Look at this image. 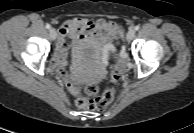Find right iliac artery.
<instances>
[{"label": "right iliac artery", "instance_id": "1", "mask_svg": "<svg viewBox=\"0 0 194 133\" xmlns=\"http://www.w3.org/2000/svg\"><path fill=\"white\" fill-rule=\"evenodd\" d=\"M46 28L47 29H50L51 28V25L50 24H46Z\"/></svg>", "mask_w": 194, "mask_h": 133}]
</instances>
